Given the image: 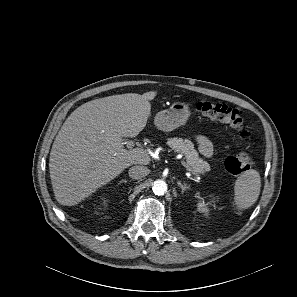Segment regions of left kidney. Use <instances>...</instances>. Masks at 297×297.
Listing matches in <instances>:
<instances>
[{"mask_svg":"<svg viewBox=\"0 0 297 297\" xmlns=\"http://www.w3.org/2000/svg\"><path fill=\"white\" fill-rule=\"evenodd\" d=\"M197 210L200 213H203L205 215H207L209 213V209L206 206L205 202L204 201H201V200L197 203Z\"/></svg>","mask_w":297,"mask_h":297,"instance_id":"5707ae66","label":"left kidney"}]
</instances>
